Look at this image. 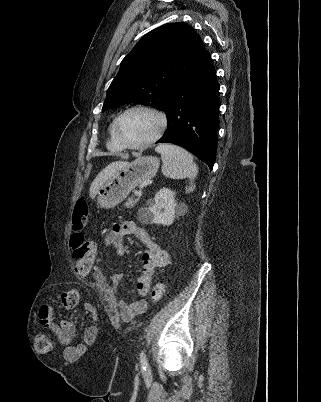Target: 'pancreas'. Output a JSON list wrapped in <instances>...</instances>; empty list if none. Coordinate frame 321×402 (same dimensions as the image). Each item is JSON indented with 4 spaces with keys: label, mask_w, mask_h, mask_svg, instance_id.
I'll use <instances>...</instances> for the list:
<instances>
[{
    "label": "pancreas",
    "mask_w": 321,
    "mask_h": 402,
    "mask_svg": "<svg viewBox=\"0 0 321 402\" xmlns=\"http://www.w3.org/2000/svg\"><path fill=\"white\" fill-rule=\"evenodd\" d=\"M137 203L136 199L130 198L125 204L124 206L128 209L133 208L135 206V204Z\"/></svg>",
    "instance_id": "cf45deb5"
}]
</instances>
